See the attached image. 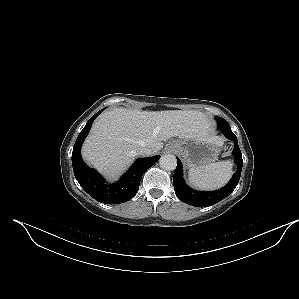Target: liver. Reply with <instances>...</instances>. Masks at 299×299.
<instances>
[{"label": "liver", "instance_id": "6515ba94", "mask_svg": "<svg viewBox=\"0 0 299 299\" xmlns=\"http://www.w3.org/2000/svg\"><path fill=\"white\" fill-rule=\"evenodd\" d=\"M210 123L199 111H138L116 108L104 112L93 124L82 147V157L108 177H115L139 155L143 147L151 154L163 141L207 136Z\"/></svg>", "mask_w": 299, "mask_h": 299}]
</instances>
